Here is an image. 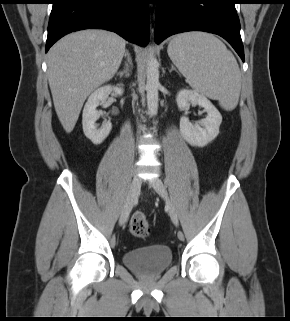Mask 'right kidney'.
Wrapping results in <instances>:
<instances>
[{"instance_id":"ca27d5eb","label":"right kidney","mask_w":290,"mask_h":321,"mask_svg":"<svg viewBox=\"0 0 290 321\" xmlns=\"http://www.w3.org/2000/svg\"><path fill=\"white\" fill-rule=\"evenodd\" d=\"M112 92L121 96L123 94V88L121 85H104L91 93L84 106L82 114L83 131L85 136L94 144L102 143L112 129L110 121L103 123L100 128L96 125V121L100 118V113L96 108L99 103L105 101Z\"/></svg>"}]
</instances>
